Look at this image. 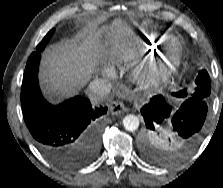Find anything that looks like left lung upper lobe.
Listing matches in <instances>:
<instances>
[{
  "instance_id": "5c2ea615",
  "label": "left lung upper lobe",
  "mask_w": 223,
  "mask_h": 188,
  "mask_svg": "<svg viewBox=\"0 0 223 188\" xmlns=\"http://www.w3.org/2000/svg\"><path fill=\"white\" fill-rule=\"evenodd\" d=\"M211 92L210 77L205 69L199 71L192 91L183 89L176 97H194L208 101ZM142 155L148 161L158 165H168L182 159L187 153L181 150L180 142L168 130L159 127L154 130L144 128L142 132Z\"/></svg>"
}]
</instances>
